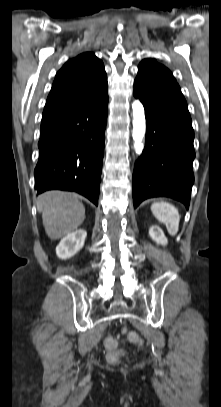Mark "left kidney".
<instances>
[{"mask_svg": "<svg viewBox=\"0 0 221 407\" xmlns=\"http://www.w3.org/2000/svg\"><path fill=\"white\" fill-rule=\"evenodd\" d=\"M149 235L154 241L157 242V244L161 245L167 244V238L159 226L157 225L151 226L149 229Z\"/></svg>", "mask_w": 221, "mask_h": 407, "instance_id": "5707ae66", "label": "left kidney"}]
</instances>
